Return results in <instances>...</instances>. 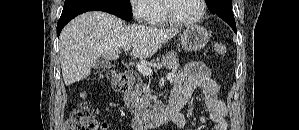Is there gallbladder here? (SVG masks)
<instances>
[{
    "label": "gallbladder",
    "mask_w": 299,
    "mask_h": 130,
    "mask_svg": "<svg viewBox=\"0 0 299 130\" xmlns=\"http://www.w3.org/2000/svg\"><path fill=\"white\" fill-rule=\"evenodd\" d=\"M111 64L105 60H96V62L93 64V69H107L111 68Z\"/></svg>",
    "instance_id": "obj_1"
}]
</instances>
